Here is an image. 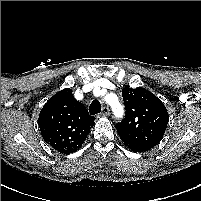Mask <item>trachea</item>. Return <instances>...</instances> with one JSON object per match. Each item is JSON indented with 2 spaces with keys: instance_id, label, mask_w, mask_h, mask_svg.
Masks as SVG:
<instances>
[{
  "instance_id": "trachea-1",
  "label": "trachea",
  "mask_w": 201,
  "mask_h": 201,
  "mask_svg": "<svg viewBox=\"0 0 201 201\" xmlns=\"http://www.w3.org/2000/svg\"><path fill=\"white\" fill-rule=\"evenodd\" d=\"M89 112L91 115H96L101 112V104L98 100H93L89 106Z\"/></svg>"
}]
</instances>
